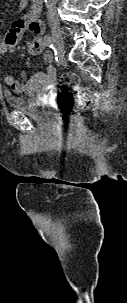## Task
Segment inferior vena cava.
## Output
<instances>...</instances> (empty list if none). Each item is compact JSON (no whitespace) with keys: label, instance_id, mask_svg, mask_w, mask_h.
Masks as SVG:
<instances>
[{"label":"inferior vena cava","instance_id":"1","mask_svg":"<svg viewBox=\"0 0 127 303\" xmlns=\"http://www.w3.org/2000/svg\"><path fill=\"white\" fill-rule=\"evenodd\" d=\"M49 18H55V19L58 20V14H57L56 9H51V10L49 11Z\"/></svg>","mask_w":127,"mask_h":303}]
</instances>
